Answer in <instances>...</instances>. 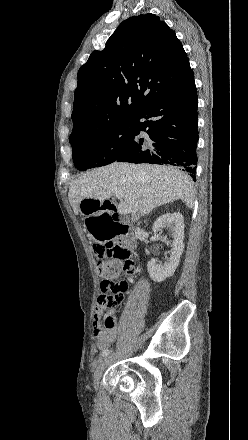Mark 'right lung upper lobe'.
Returning <instances> with one entry per match:
<instances>
[{"instance_id":"right-lung-upper-lobe-1","label":"right lung upper lobe","mask_w":248,"mask_h":440,"mask_svg":"<svg viewBox=\"0 0 248 440\" xmlns=\"http://www.w3.org/2000/svg\"><path fill=\"white\" fill-rule=\"evenodd\" d=\"M193 81L175 32L154 14L130 17L78 71L71 136L108 130L131 119L147 102Z\"/></svg>"}]
</instances>
